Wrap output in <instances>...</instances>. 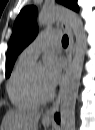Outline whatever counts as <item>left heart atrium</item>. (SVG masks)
I'll use <instances>...</instances> for the list:
<instances>
[{"mask_svg": "<svg viewBox=\"0 0 95 130\" xmlns=\"http://www.w3.org/2000/svg\"><path fill=\"white\" fill-rule=\"evenodd\" d=\"M44 65V83L49 89H53L57 85L61 77V62L56 55L49 54L44 59Z\"/></svg>", "mask_w": 95, "mask_h": 130, "instance_id": "1", "label": "left heart atrium"}]
</instances>
